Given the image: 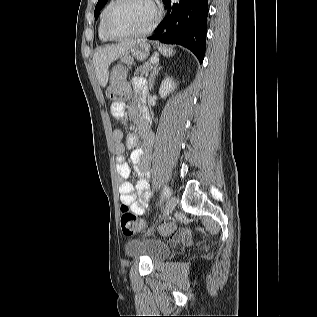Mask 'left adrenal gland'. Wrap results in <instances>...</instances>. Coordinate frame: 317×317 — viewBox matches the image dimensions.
Here are the masks:
<instances>
[{"instance_id": "obj_1", "label": "left adrenal gland", "mask_w": 317, "mask_h": 317, "mask_svg": "<svg viewBox=\"0 0 317 317\" xmlns=\"http://www.w3.org/2000/svg\"><path fill=\"white\" fill-rule=\"evenodd\" d=\"M161 67H158V64L155 66V68L153 69L150 78H149V89L150 91L153 89V84H154V78L156 75H158L159 71H160Z\"/></svg>"}]
</instances>
